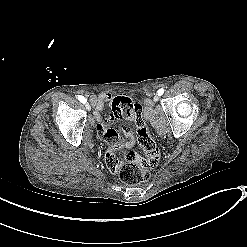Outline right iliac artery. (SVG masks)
I'll return each mask as SVG.
<instances>
[{"instance_id": "82829eb1", "label": "right iliac artery", "mask_w": 247, "mask_h": 247, "mask_svg": "<svg viewBox=\"0 0 247 247\" xmlns=\"http://www.w3.org/2000/svg\"><path fill=\"white\" fill-rule=\"evenodd\" d=\"M78 100L82 103H86V99L83 96H78Z\"/></svg>"}]
</instances>
